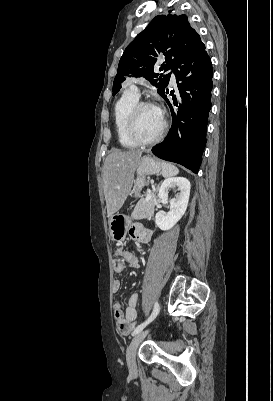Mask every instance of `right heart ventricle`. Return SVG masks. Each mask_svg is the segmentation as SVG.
Instances as JSON below:
<instances>
[{
	"label": "right heart ventricle",
	"instance_id": "right-heart-ventricle-1",
	"mask_svg": "<svg viewBox=\"0 0 273 401\" xmlns=\"http://www.w3.org/2000/svg\"><path fill=\"white\" fill-rule=\"evenodd\" d=\"M139 102V97L134 96L132 93L123 94L115 103L113 107L114 128L117 134L118 141L122 147L137 148L140 145L134 143L125 133V123L131 109Z\"/></svg>",
	"mask_w": 273,
	"mask_h": 401
}]
</instances>
